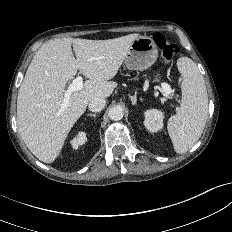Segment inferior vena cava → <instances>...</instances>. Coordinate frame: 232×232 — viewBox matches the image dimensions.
Masks as SVG:
<instances>
[{"mask_svg": "<svg viewBox=\"0 0 232 232\" xmlns=\"http://www.w3.org/2000/svg\"><path fill=\"white\" fill-rule=\"evenodd\" d=\"M106 105L104 98L96 97L89 102L88 108L92 112H100Z\"/></svg>", "mask_w": 232, "mask_h": 232, "instance_id": "1", "label": "inferior vena cava"}]
</instances>
